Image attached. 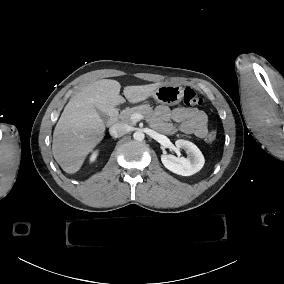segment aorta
Here are the masks:
<instances>
[{
  "mask_svg": "<svg viewBox=\"0 0 284 284\" xmlns=\"http://www.w3.org/2000/svg\"><path fill=\"white\" fill-rule=\"evenodd\" d=\"M133 138L136 140V141H143L144 138H145V135L143 132H140V131H137L133 134Z\"/></svg>",
  "mask_w": 284,
  "mask_h": 284,
  "instance_id": "obj_1",
  "label": "aorta"
}]
</instances>
